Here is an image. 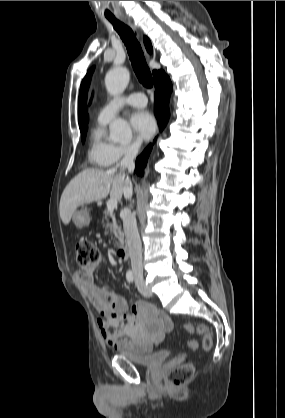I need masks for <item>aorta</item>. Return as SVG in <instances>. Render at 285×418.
<instances>
[{
	"mask_svg": "<svg viewBox=\"0 0 285 418\" xmlns=\"http://www.w3.org/2000/svg\"><path fill=\"white\" fill-rule=\"evenodd\" d=\"M130 80V73L126 67L118 66L110 69L105 76V86L107 91L113 95L124 92ZM131 129L128 123L117 118L110 124V139L113 142L124 143L130 140Z\"/></svg>",
	"mask_w": 285,
	"mask_h": 418,
	"instance_id": "aorta-1",
	"label": "aorta"
}]
</instances>
